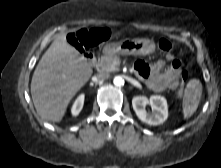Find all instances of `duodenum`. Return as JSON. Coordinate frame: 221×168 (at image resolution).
<instances>
[{
	"instance_id": "410a0bca",
	"label": "duodenum",
	"mask_w": 221,
	"mask_h": 168,
	"mask_svg": "<svg viewBox=\"0 0 221 168\" xmlns=\"http://www.w3.org/2000/svg\"><path fill=\"white\" fill-rule=\"evenodd\" d=\"M85 60L89 66L94 67L97 64V59H96L95 55L92 53H86Z\"/></svg>"
}]
</instances>
